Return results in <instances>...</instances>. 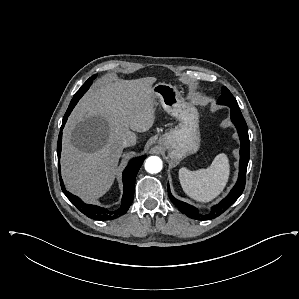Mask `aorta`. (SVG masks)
I'll return each mask as SVG.
<instances>
[{
	"mask_svg": "<svg viewBox=\"0 0 299 299\" xmlns=\"http://www.w3.org/2000/svg\"><path fill=\"white\" fill-rule=\"evenodd\" d=\"M162 160L157 156H150L146 159L145 170L148 173L156 174L162 170Z\"/></svg>",
	"mask_w": 299,
	"mask_h": 299,
	"instance_id": "1",
	"label": "aorta"
}]
</instances>
